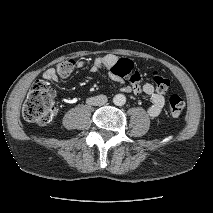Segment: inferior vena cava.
<instances>
[{
    "instance_id": "1",
    "label": "inferior vena cava",
    "mask_w": 213,
    "mask_h": 213,
    "mask_svg": "<svg viewBox=\"0 0 213 213\" xmlns=\"http://www.w3.org/2000/svg\"><path fill=\"white\" fill-rule=\"evenodd\" d=\"M107 97L105 95H98L87 99V103L94 106H102L107 102Z\"/></svg>"
}]
</instances>
